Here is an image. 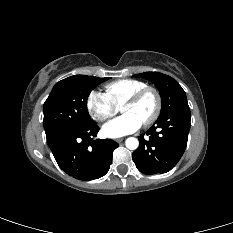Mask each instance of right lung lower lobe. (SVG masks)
Returning <instances> with one entry per match:
<instances>
[{
	"label": "right lung lower lobe",
	"mask_w": 233,
	"mask_h": 233,
	"mask_svg": "<svg viewBox=\"0 0 233 233\" xmlns=\"http://www.w3.org/2000/svg\"><path fill=\"white\" fill-rule=\"evenodd\" d=\"M98 131V125L92 121L46 135L59 167L77 179L89 181L104 176L118 144L110 139L93 140Z\"/></svg>",
	"instance_id": "right-lung-lower-lobe-1"
}]
</instances>
